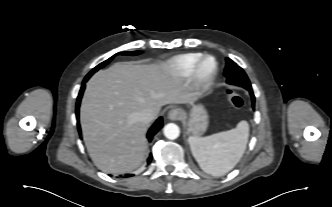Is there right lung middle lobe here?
<instances>
[{"label": "right lung middle lobe", "instance_id": "dd1d6c3e", "mask_svg": "<svg viewBox=\"0 0 332 207\" xmlns=\"http://www.w3.org/2000/svg\"><path fill=\"white\" fill-rule=\"evenodd\" d=\"M141 51H132V52H119L117 54H115L114 56L116 55H138L140 54ZM113 59V57H110L108 60L100 63L98 66H96L95 68H93L89 73L88 75L85 77L87 80L92 76V74H94L97 70L103 68L105 65H107L111 60Z\"/></svg>", "mask_w": 332, "mask_h": 207}]
</instances>
